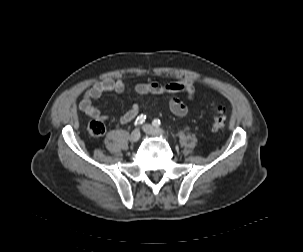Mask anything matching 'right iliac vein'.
Here are the masks:
<instances>
[{"label":"right iliac vein","instance_id":"right-iliac-vein-1","mask_svg":"<svg viewBox=\"0 0 303 252\" xmlns=\"http://www.w3.org/2000/svg\"><path fill=\"white\" fill-rule=\"evenodd\" d=\"M140 138V131L139 129H135L132 131L131 135H130V141L131 142H137Z\"/></svg>","mask_w":303,"mask_h":252}]
</instances>
